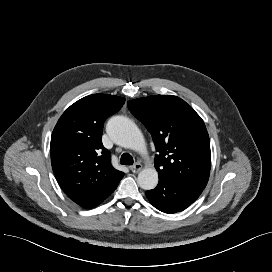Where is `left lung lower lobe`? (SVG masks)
<instances>
[{"label": "left lung lower lobe", "mask_w": 272, "mask_h": 272, "mask_svg": "<svg viewBox=\"0 0 272 272\" xmlns=\"http://www.w3.org/2000/svg\"><path fill=\"white\" fill-rule=\"evenodd\" d=\"M202 191L182 181L159 179L156 189L146 191V196L155 208L173 214L190 206Z\"/></svg>", "instance_id": "obj_1"}]
</instances>
